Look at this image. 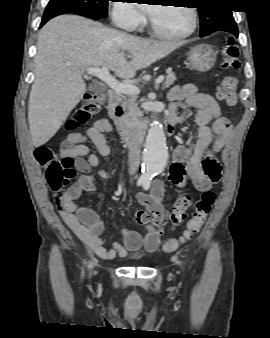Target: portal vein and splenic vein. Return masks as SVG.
Here are the masks:
<instances>
[{
    "mask_svg": "<svg viewBox=\"0 0 270 338\" xmlns=\"http://www.w3.org/2000/svg\"><path fill=\"white\" fill-rule=\"evenodd\" d=\"M86 73L98 77L104 81L110 88L118 93H123L127 95H136L139 94L140 89L131 84L121 83L112 77L109 73V69L106 66L102 68L90 67L86 69ZM164 80V76L161 75L155 80V84L159 85Z\"/></svg>",
    "mask_w": 270,
    "mask_h": 338,
    "instance_id": "obj_1",
    "label": "portal vein and splenic vein"
}]
</instances>
